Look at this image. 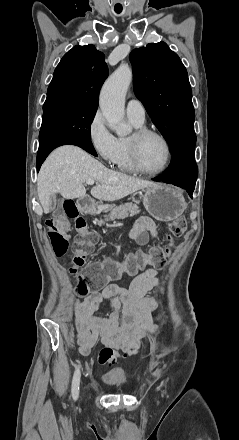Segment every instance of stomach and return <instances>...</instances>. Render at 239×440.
Instances as JSON below:
<instances>
[{
    "label": "stomach",
    "mask_w": 239,
    "mask_h": 440,
    "mask_svg": "<svg viewBox=\"0 0 239 440\" xmlns=\"http://www.w3.org/2000/svg\"><path fill=\"white\" fill-rule=\"evenodd\" d=\"M145 210L152 218L159 222H172L179 218L187 208L184 196L178 188L171 186H159V188H149L143 198ZM86 214H96V204L90 202L82 206Z\"/></svg>",
    "instance_id": "0dacf381"
}]
</instances>
